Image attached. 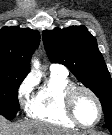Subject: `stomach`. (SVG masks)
I'll return each instance as SVG.
<instances>
[{
    "mask_svg": "<svg viewBox=\"0 0 112 135\" xmlns=\"http://www.w3.org/2000/svg\"><path fill=\"white\" fill-rule=\"evenodd\" d=\"M78 135H96V134H93V133H80Z\"/></svg>",
    "mask_w": 112,
    "mask_h": 135,
    "instance_id": "1",
    "label": "stomach"
}]
</instances>
